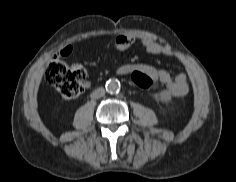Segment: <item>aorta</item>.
Returning <instances> with one entry per match:
<instances>
[{"label": "aorta", "instance_id": "obj_1", "mask_svg": "<svg viewBox=\"0 0 236 182\" xmlns=\"http://www.w3.org/2000/svg\"><path fill=\"white\" fill-rule=\"evenodd\" d=\"M106 90L109 93H116L120 90V82L117 79H109L106 82Z\"/></svg>", "mask_w": 236, "mask_h": 182}]
</instances>
